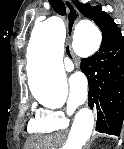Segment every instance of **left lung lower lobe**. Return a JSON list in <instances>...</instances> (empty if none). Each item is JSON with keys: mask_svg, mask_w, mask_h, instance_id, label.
<instances>
[{"mask_svg": "<svg viewBox=\"0 0 124 149\" xmlns=\"http://www.w3.org/2000/svg\"><path fill=\"white\" fill-rule=\"evenodd\" d=\"M89 83V107L96 108L98 132L120 135L124 119V38L103 40L99 50L81 60Z\"/></svg>", "mask_w": 124, "mask_h": 149, "instance_id": "obj_1", "label": "left lung lower lobe"}]
</instances>
